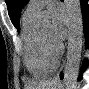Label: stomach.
Returning <instances> with one entry per match:
<instances>
[{"label": "stomach", "mask_w": 89, "mask_h": 89, "mask_svg": "<svg viewBox=\"0 0 89 89\" xmlns=\"http://www.w3.org/2000/svg\"><path fill=\"white\" fill-rule=\"evenodd\" d=\"M52 89H59V86L57 85V86L53 87Z\"/></svg>", "instance_id": "stomach-1"}]
</instances>
